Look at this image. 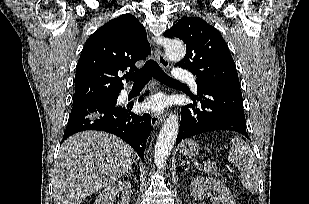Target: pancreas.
I'll return each mask as SVG.
<instances>
[{
	"label": "pancreas",
	"mask_w": 309,
	"mask_h": 204,
	"mask_svg": "<svg viewBox=\"0 0 309 204\" xmlns=\"http://www.w3.org/2000/svg\"><path fill=\"white\" fill-rule=\"evenodd\" d=\"M201 169H202L204 172L208 173V174H212V175H215V176H220V175H221V173H220V171L217 169L215 163H207V164H205Z\"/></svg>",
	"instance_id": "cf45deb5"
}]
</instances>
